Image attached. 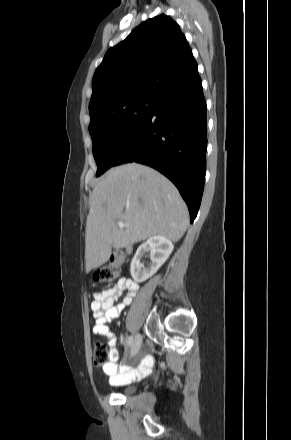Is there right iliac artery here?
Listing matches in <instances>:
<instances>
[{
  "instance_id": "82829eb1",
  "label": "right iliac artery",
  "mask_w": 291,
  "mask_h": 440,
  "mask_svg": "<svg viewBox=\"0 0 291 440\" xmlns=\"http://www.w3.org/2000/svg\"><path fill=\"white\" fill-rule=\"evenodd\" d=\"M132 344H133V337L129 336L128 339H127V345L131 346Z\"/></svg>"
}]
</instances>
